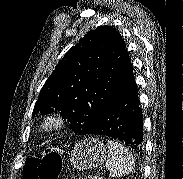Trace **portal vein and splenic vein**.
Here are the masks:
<instances>
[{
    "mask_svg": "<svg viewBox=\"0 0 183 179\" xmlns=\"http://www.w3.org/2000/svg\"><path fill=\"white\" fill-rule=\"evenodd\" d=\"M89 179H103L102 177H100V174H97L96 176H89Z\"/></svg>",
    "mask_w": 183,
    "mask_h": 179,
    "instance_id": "18ae733b",
    "label": "portal vein and splenic vein"
}]
</instances>
